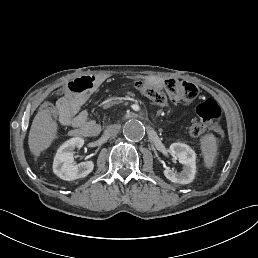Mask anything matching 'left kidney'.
<instances>
[{"instance_id":"1","label":"left kidney","mask_w":258,"mask_h":258,"mask_svg":"<svg viewBox=\"0 0 258 258\" xmlns=\"http://www.w3.org/2000/svg\"><path fill=\"white\" fill-rule=\"evenodd\" d=\"M173 155L179 157V162L184 165L182 172L178 173L175 170L167 168L164 171L166 178L174 183L188 184L191 183L196 174V153L187 144L175 142L169 147Z\"/></svg>"}]
</instances>
